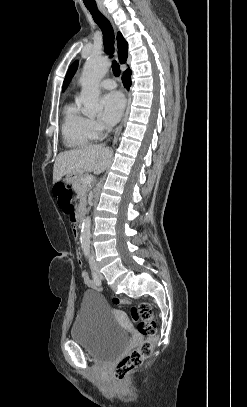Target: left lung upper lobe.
<instances>
[{
	"instance_id": "5c2ea615",
	"label": "left lung upper lobe",
	"mask_w": 247,
	"mask_h": 407,
	"mask_svg": "<svg viewBox=\"0 0 247 407\" xmlns=\"http://www.w3.org/2000/svg\"><path fill=\"white\" fill-rule=\"evenodd\" d=\"M78 68V61H75L69 68L67 75L65 77L64 83H63V90L66 89L68 84L70 83L72 77L74 76L76 70Z\"/></svg>"
}]
</instances>
